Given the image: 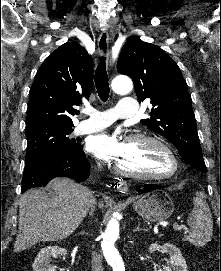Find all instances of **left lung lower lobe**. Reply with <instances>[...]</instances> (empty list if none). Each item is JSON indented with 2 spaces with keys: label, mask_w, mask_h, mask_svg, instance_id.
Listing matches in <instances>:
<instances>
[{
  "label": "left lung lower lobe",
  "mask_w": 221,
  "mask_h": 271,
  "mask_svg": "<svg viewBox=\"0 0 221 271\" xmlns=\"http://www.w3.org/2000/svg\"><path fill=\"white\" fill-rule=\"evenodd\" d=\"M159 188H163V186L148 184V185L144 186V189H141L139 186H137V191L144 193L146 191H152V190L159 189Z\"/></svg>",
  "instance_id": "left-lung-lower-lobe-1"
}]
</instances>
